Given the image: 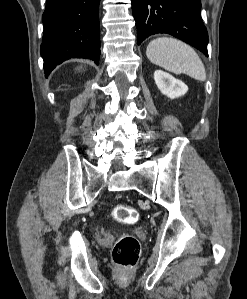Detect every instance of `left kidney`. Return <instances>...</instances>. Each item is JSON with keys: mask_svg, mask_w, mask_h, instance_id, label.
Returning a JSON list of instances; mask_svg holds the SVG:
<instances>
[{"mask_svg": "<svg viewBox=\"0 0 247 299\" xmlns=\"http://www.w3.org/2000/svg\"><path fill=\"white\" fill-rule=\"evenodd\" d=\"M154 80L160 92L171 99L183 96L188 91L185 83L162 70L154 72Z\"/></svg>", "mask_w": 247, "mask_h": 299, "instance_id": "obj_1", "label": "left kidney"}]
</instances>
